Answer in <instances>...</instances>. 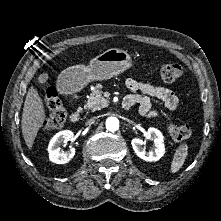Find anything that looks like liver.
<instances>
[{
    "instance_id": "1",
    "label": "liver",
    "mask_w": 221,
    "mask_h": 221,
    "mask_svg": "<svg viewBox=\"0 0 221 221\" xmlns=\"http://www.w3.org/2000/svg\"><path fill=\"white\" fill-rule=\"evenodd\" d=\"M46 119L43 100L34 87H30L24 102L21 128L25 143L32 148L38 131Z\"/></svg>"
}]
</instances>
